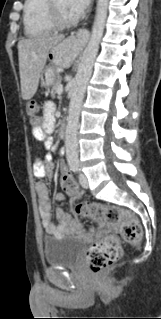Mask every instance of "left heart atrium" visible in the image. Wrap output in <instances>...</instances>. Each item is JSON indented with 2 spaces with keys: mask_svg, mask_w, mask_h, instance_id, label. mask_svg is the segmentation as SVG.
<instances>
[{
  "mask_svg": "<svg viewBox=\"0 0 161 319\" xmlns=\"http://www.w3.org/2000/svg\"><path fill=\"white\" fill-rule=\"evenodd\" d=\"M89 2L90 0H67V5L72 14L80 16Z\"/></svg>",
  "mask_w": 161,
  "mask_h": 319,
  "instance_id": "left-heart-atrium-1",
  "label": "left heart atrium"
}]
</instances>
